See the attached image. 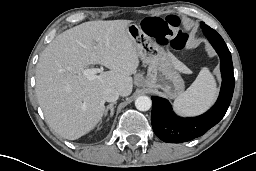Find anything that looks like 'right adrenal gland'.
<instances>
[{
	"label": "right adrenal gland",
	"mask_w": 256,
	"mask_h": 171,
	"mask_svg": "<svg viewBox=\"0 0 256 171\" xmlns=\"http://www.w3.org/2000/svg\"><path fill=\"white\" fill-rule=\"evenodd\" d=\"M116 104V102H113L111 104H109L105 110H104V117L107 116L108 114V111L110 110V115H109V118H112L113 114H114V105Z\"/></svg>",
	"instance_id": "2a0ac1e0"
}]
</instances>
